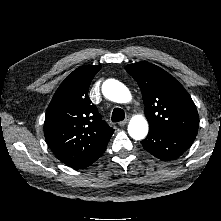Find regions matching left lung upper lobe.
<instances>
[{
  "label": "left lung upper lobe",
  "mask_w": 221,
  "mask_h": 221,
  "mask_svg": "<svg viewBox=\"0 0 221 221\" xmlns=\"http://www.w3.org/2000/svg\"><path fill=\"white\" fill-rule=\"evenodd\" d=\"M125 69L141 89L150 130L197 135L199 116L196 106L173 76L146 61L127 65Z\"/></svg>",
  "instance_id": "left-lung-upper-lobe-1"
}]
</instances>
